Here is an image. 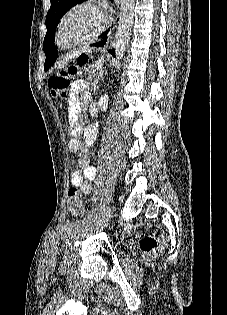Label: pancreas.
I'll return each instance as SVG.
<instances>
[{
	"label": "pancreas",
	"mask_w": 227,
	"mask_h": 315,
	"mask_svg": "<svg viewBox=\"0 0 227 315\" xmlns=\"http://www.w3.org/2000/svg\"><path fill=\"white\" fill-rule=\"evenodd\" d=\"M102 71L101 67H97L96 65H89L85 68V76L88 81L96 80L97 75Z\"/></svg>",
	"instance_id": "cf45deb5"
}]
</instances>
